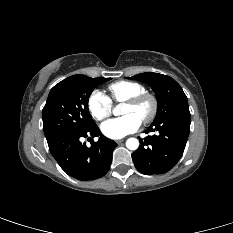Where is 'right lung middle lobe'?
<instances>
[{
	"mask_svg": "<svg viewBox=\"0 0 233 233\" xmlns=\"http://www.w3.org/2000/svg\"><path fill=\"white\" fill-rule=\"evenodd\" d=\"M110 79L74 75L55 85L42 112L46 139L92 127L95 122L88 110L90 94L98 85Z\"/></svg>",
	"mask_w": 233,
	"mask_h": 233,
	"instance_id": "1",
	"label": "right lung middle lobe"
}]
</instances>
